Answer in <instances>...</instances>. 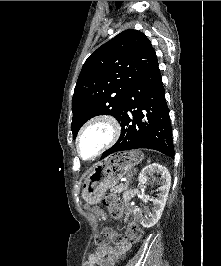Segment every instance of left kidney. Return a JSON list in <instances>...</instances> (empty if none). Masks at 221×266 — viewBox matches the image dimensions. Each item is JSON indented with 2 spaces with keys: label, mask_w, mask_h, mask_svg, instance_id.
<instances>
[{
  "label": "left kidney",
  "mask_w": 221,
  "mask_h": 266,
  "mask_svg": "<svg viewBox=\"0 0 221 266\" xmlns=\"http://www.w3.org/2000/svg\"><path fill=\"white\" fill-rule=\"evenodd\" d=\"M153 173L161 175V186L159 188L160 193L158 198L153 200L154 207L152 209V213L149 214V217L143 216L138 210L140 222L145 228L154 226L161 218L171 186V176L168 169L159 163H152L142 169L138 177L139 184L145 185L147 183L148 176L152 175Z\"/></svg>",
  "instance_id": "5707ae66"
}]
</instances>
